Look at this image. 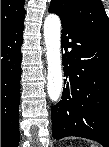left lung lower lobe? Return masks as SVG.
Returning <instances> with one entry per match:
<instances>
[{"instance_id":"0a47b994","label":"left lung lower lobe","mask_w":109,"mask_h":147,"mask_svg":"<svg viewBox=\"0 0 109 147\" xmlns=\"http://www.w3.org/2000/svg\"><path fill=\"white\" fill-rule=\"evenodd\" d=\"M60 18L64 76L77 72L81 84L75 91L64 80L51 111L53 138L79 136L109 147V39Z\"/></svg>"}]
</instances>
